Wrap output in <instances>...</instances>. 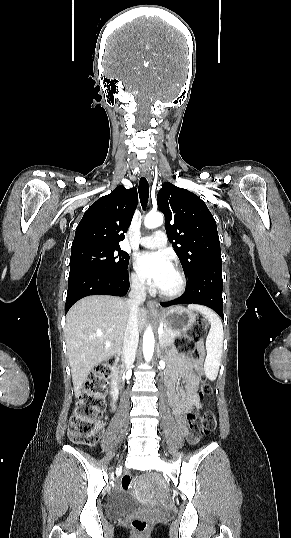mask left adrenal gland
Segmentation results:
<instances>
[{
    "label": "left adrenal gland",
    "mask_w": 291,
    "mask_h": 538,
    "mask_svg": "<svg viewBox=\"0 0 291 538\" xmlns=\"http://www.w3.org/2000/svg\"><path fill=\"white\" fill-rule=\"evenodd\" d=\"M157 354H158V356H160V354H161V345H159V344L157 345Z\"/></svg>",
    "instance_id": "a2214340"
}]
</instances>
